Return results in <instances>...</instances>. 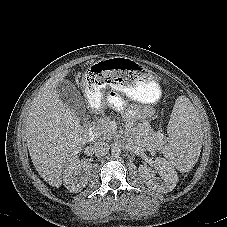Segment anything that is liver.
<instances>
[{
    "mask_svg": "<svg viewBox=\"0 0 227 227\" xmlns=\"http://www.w3.org/2000/svg\"><path fill=\"white\" fill-rule=\"evenodd\" d=\"M69 73L51 77L34 98L26 119V139L32 163L49 185L59 188L62 172L87 142L80 119L59 99L56 87Z\"/></svg>",
    "mask_w": 227,
    "mask_h": 227,
    "instance_id": "liver-1",
    "label": "liver"
}]
</instances>
